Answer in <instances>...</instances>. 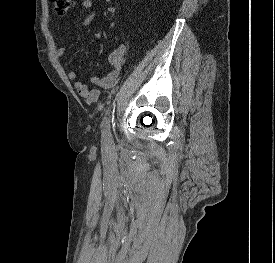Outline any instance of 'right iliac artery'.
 <instances>
[{
  "mask_svg": "<svg viewBox=\"0 0 275 263\" xmlns=\"http://www.w3.org/2000/svg\"><path fill=\"white\" fill-rule=\"evenodd\" d=\"M110 120H111L110 110H107L102 123V137L106 142L111 141Z\"/></svg>",
  "mask_w": 275,
  "mask_h": 263,
  "instance_id": "1",
  "label": "right iliac artery"
}]
</instances>
